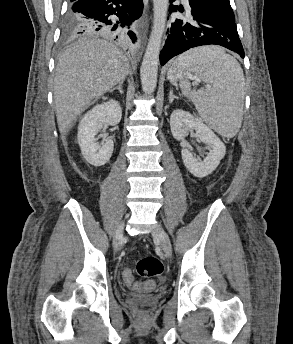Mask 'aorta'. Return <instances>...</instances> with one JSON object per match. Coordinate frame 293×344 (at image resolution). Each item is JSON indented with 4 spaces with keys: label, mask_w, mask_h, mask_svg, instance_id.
<instances>
[{
    "label": "aorta",
    "mask_w": 293,
    "mask_h": 344,
    "mask_svg": "<svg viewBox=\"0 0 293 344\" xmlns=\"http://www.w3.org/2000/svg\"><path fill=\"white\" fill-rule=\"evenodd\" d=\"M169 0H153L154 20L151 35L140 68L142 89L151 94L157 85L159 54L164 35Z\"/></svg>",
    "instance_id": "762f6f07"
}]
</instances>
